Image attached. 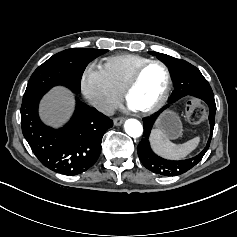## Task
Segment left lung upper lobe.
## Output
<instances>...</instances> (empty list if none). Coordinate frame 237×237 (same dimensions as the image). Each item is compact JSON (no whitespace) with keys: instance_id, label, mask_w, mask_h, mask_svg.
Returning a JSON list of instances; mask_svg holds the SVG:
<instances>
[{"instance_id":"1","label":"left lung upper lobe","mask_w":237,"mask_h":237,"mask_svg":"<svg viewBox=\"0 0 237 237\" xmlns=\"http://www.w3.org/2000/svg\"><path fill=\"white\" fill-rule=\"evenodd\" d=\"M164 62L172 75L174 91L170 98V103H174L184 96H194L200 99L214 97L213 91L198 68L185 60L176 59L172 56L150 52ZM157 114L150 118L143 119L144 133L141 142L137 147V152L142 164L150 171L164 175L177 176L183 174L194 167L202 159L209 148L211 136L206 147L198 155L180 161H171L157 156L150 148L148 141L151 128L157 118ZM212 135V133H210Z\"/></svg>"}]
</instances>
